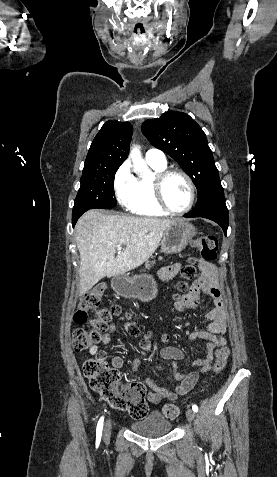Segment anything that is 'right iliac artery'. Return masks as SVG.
<instances>
[{"label":"right iliac artery","mask_w":277,"mask_h":477,"mask_svg":"<svg viewBox=\"0 0 277 477\" xmlns=\"http://www.w3.org/2000/svg\"><path fill=\"white\" fill-rule=\"evenodd\" d=\"M103 422H104V417H101L97 424V430H96V435L98 439H100L102 435Z\"/></svg>","instance_id":"1"}]
</instances>
